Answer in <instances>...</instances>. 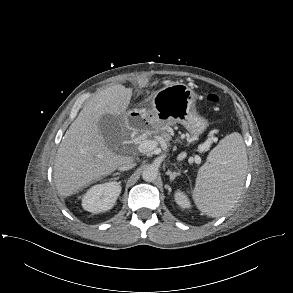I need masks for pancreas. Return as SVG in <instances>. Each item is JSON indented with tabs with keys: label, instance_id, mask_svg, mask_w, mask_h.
Here are the masks:
<instances>
[{
	"label": "pancreas",
	"instance_id": "obj_1",
	"mask_svg": "<svg viewBox=\"0 0 293 293\" xmlns=\"http://www.w3.org/2000/svg\"><path fill=\"white\" fill-rule=\"evenodd\" d=\"M148 134H150V133H148ZM161 137L165 140V141H168L169 140V134L168 133H166V132H163L162 134H161Z\"/></svg>",
	"mask_w": 293,
	"mask_h": 293
}]
</instances>
